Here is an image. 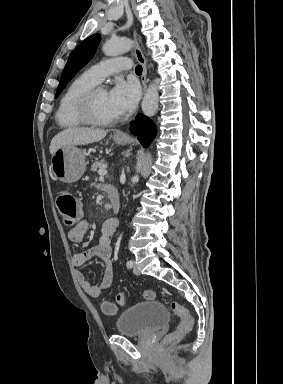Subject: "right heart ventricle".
Listing matches in <instances>:
<instances>
[{"instance_id":"right-heart-ventricle-1","label":"right heart ventricle","mask_w":283,"mask_h":384,"mask_svg":"<svg viewBox=\"0 0 283 384\" xmlns=\"http://www.w3.org/2000/svg\"><path fill=\"white\" fill-rule=\"evenodd\" d=\"M96 85L85 74L75 78L61 95L56 108L55 118L60 128L65 130L81 129L82 124L74 115L77 99L89 88Z\"/></svg>"}]
</instances>
